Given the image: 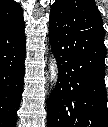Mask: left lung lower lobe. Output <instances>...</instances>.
Returning <instances> with one entry per match:
<instances>
[{
	"label": "left lung lower lobe",
	"mask_w": 108,
	"mask_h": 127,
	"mask_svg": "<svg viewBox=\"0 0 108 127\" xmlns=\"http://www.w3.org/2000/svg\"><path fill=\"white\" fill-rule=\"evenodd\" d=\"M104 34L94 0L53 3L49 38L59 76L48 99V127H108ZM71 64L77 73L73 87L65 75Z\"/></svg>",
	"instance_id": "1"
}]
</instances>
